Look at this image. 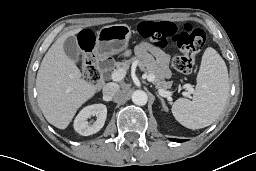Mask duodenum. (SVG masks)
Wrapping results in <instances>:
<instances>
[{
	"label": "duodenum",
	"instance_id": "1",
	"mask_svg": "<svg viewBox=\"0 0 256 171\" xmlns=\"http://www.w3.org/2000/svg\"><path fill=\"white\" fill-rule=\"evenodd\" d=\"M97 67L101 72L107 71L113 67V60L110 57H101L96 61ZM104 85V81L101 78L97 83V89L100 90Z\"/></svg>",
	"mask_w": 256,
	"mask_h": 171
}]
</instances>
